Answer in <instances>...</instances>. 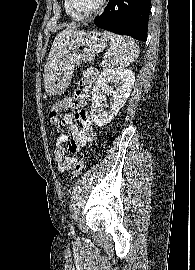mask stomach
<instances>
[{
  "mask_svg": "<svg viewBox=\"0 0 195 270\" xmlns=\"http://www.w3.org/2000/svg\"><path fill=\"white\" fill-rule=\"evenodd\" d=\"M107 39L101 31H75L58 41L54 57L46 64L44 85L50 95L62 94L68 87L74 68L92 60L105 49Z\"/></svg>",
  "mask_w": 195,
  "mask_h": 270,
  "instance_id": "1",
  "label": "stomach"
}]
</instances>
